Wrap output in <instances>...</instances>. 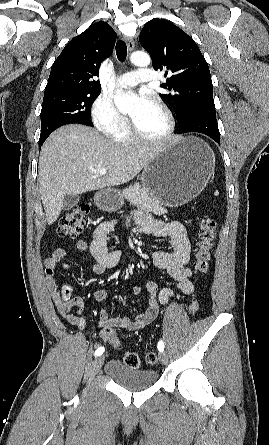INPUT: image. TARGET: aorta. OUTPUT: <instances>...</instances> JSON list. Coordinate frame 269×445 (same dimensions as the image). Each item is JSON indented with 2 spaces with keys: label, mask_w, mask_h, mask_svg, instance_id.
<instances>
[{
  "label": "aorta",
  "mask_w": 269,
  "mask_h": 445,
  "mask_svg": "<svg viewBox=\"0 0 269 445\" xmlns=\"http://www.w3.org/2000/svg\"><path fill=\"white\" fill-rule=\"evenodd\" d=\"M130 61L136 66L144 67L150 64L151 58L145 52H134L130 56ZM114 102L120 112H127L137 102V97L133 94H127L121 89H117L114 96Z\"/></svg>",
  "instance_id": "aorta-1"
}]
</instances>
